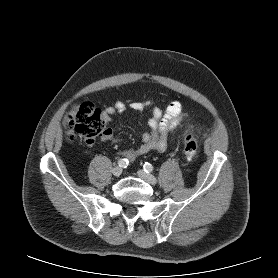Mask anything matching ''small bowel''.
I'll list each match as a JSON object with an SVG mask.
<instances>
[{"label": "small bowel", "mask_w": 278, "mask_h": 278, "mask_svg": "<svg viewBox=\"0 0 278 278\" xmlns=\"http://www.w3.org/2000/svg\"><path fill=\"white\" fill-rule=\"evenodd\" d=\"M135 112H142L149 108L151 117L148 121L149 131L142 134V143L134 149H126L122 153L130 161H134L138 156L151 151L163 152L168 145V135L174 131L184 120L182 104L179 101H172L165 110L154 106L150 101H136L127 106L124 102L118 101L113 106L105 110L106 117L123 114L127 108ZM104 140L112 138L111 129H106L102 135Z\"/></svg>", "instance_id": "obj_1"}]
</instances>
